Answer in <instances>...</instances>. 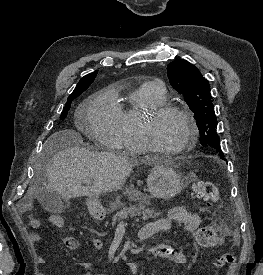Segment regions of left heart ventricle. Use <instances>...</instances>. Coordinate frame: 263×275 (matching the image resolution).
Here are the masks:
<instances>
[{"instance_id":"obj_1","label":"left heart ventricle","mask_w":263,"mask_h":275,"mask_svg":"<svg viewBox=\"0 0 263 275\" xmlns=\"http://www.w3.org/2000/svg\"><path fill=\"white\" fill-rule=\"evenodd\" d=\"M189 134L188 122L181 116L170 114L153 121L152 136L155 143L164 149L180 147Z\"/></svg>"}]
</instances>
